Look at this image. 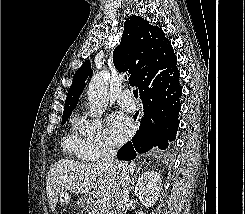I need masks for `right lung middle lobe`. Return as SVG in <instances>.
<instances>
[{
    "label": "right lung middle lobe",
    "instance_id": "1",
    "mask_svg": "<svg viewBox=\"0 0 245 214\" xmlns=\"http://www.w3.org/2000/svg\"><path fill=\"white\" fill-rule=\"evenodd\" d=\"M71 113L69 114H63L62 116V125L65 124V122L67 121V119L70 117Z\"/></svg>",
    "mask_w": 245,
    "mask_h": 214
}]
</instances>
